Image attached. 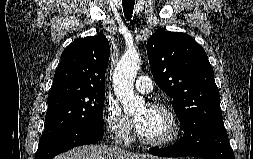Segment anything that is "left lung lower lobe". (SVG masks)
<instances>
[{
    "mask_svg": "<svg viewBox=\"0 0 253 159\" xmlns=\"http://www.w3.org/2000/svg\"><path fill=\"white\" fill-rule=\"evenodd\" d=\"M149 151L163 157L192 156L204 159H235L223 119L214 120L183 135L180 141L171 147L151 148Z\"/></svg>",
    "mask_w": 253,
    "mask_h": 159,
    "instance_id": "1",
    "label": "left lung lower lobe"
}]
</instances>
